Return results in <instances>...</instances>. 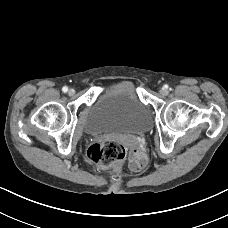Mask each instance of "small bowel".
I'll list each match as a JSON object with an SVG mask.
<instances>
[{"mask_svg": "<svg viewBox=\"0 0 228 228\" xmlns=\"http://www.w3.org/2000/svg\"><path fill=\"white\" fill-rule=\"evenodd\" d=\"M129 165L133 171H141L147 166L146 155L139 150H132L129 155Z\"/></svg>", "mask_w": 228, "mask_h": 228, "instance_id": "c3829d8e", "label": "small bowel"}]
</instances>
